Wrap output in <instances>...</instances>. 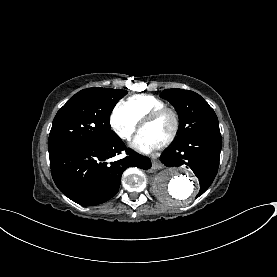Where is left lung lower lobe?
<instances>
[{
    "instance_id": "1",
    "label": "left lung lower lobe",
    "mask_w": 277,
    "mask_h": 277,
    "mask_svg": "<svg viewBox=\"0 0 277 277\" xmlns=\"http://www.w3.org/2000/svg\"><path fill=\"white\" fill-rule=\"evenodd\" d=\"M221 147L220 132H206L175 142L163 152L161 161L167 167L189 166L200 182L198 197L209 188L217 174Z\"/></svg>"
}]
</instances>
